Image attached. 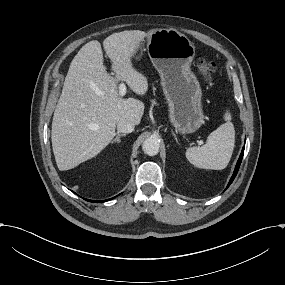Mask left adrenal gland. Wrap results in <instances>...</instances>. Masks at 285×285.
<instances>
[{"mask_svg":"<svg viewBox=\"0 0 285 285\" xmlns=\"http://www.w3.org/2000/svg\"><path fill=\"white\" fill-rule=\"evenodd\" d=\"M171 133H172V135L174 136V139H175L176 143H177V144H180L179 141H178V139H177V137H176V134L174 133L173 130H171Z\"/></svg>","mask_w":285,"mask_h":285,"instance_id":"obj_1","label":"left adrenal gland"}]
</instances>
